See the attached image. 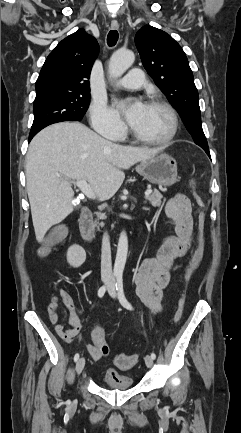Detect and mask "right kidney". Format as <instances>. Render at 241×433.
Wrapping results in <instances>:
<instances>
[{
	"mask_svg": "<svg viewBox=\"0 0 241 433\" xmlns=\"http://www.w3.org/2000/svg\"><path fill=\"white\" fill-rule=\"evenodd\" d=\"M86 260L85 250L77 245H72L67 251V262L74 268L80 267Z\"/></svg>",
	"mask_w": 241,
	"mask_h": 433,
	"instance_id": "right-kidney-1",
	"label": "right kidney"
}]
</instances>
